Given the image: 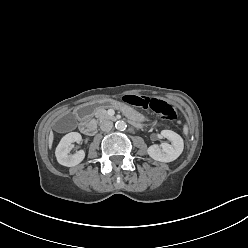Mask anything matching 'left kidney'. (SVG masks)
I'll use <instances>...</instances> for the list:
<instances>
[{
  "instance_id": "5707ae66",
  "label": "left kidney",
  "mask_w": 248,
  "mask_h": 248,
  "mask_svg": "<svg viewBox=\"0 0 248 248\" xmlns=\"http://www.w3.org/2000/svg\"><path fill=\"white\" fill-rule=\"evenodd\" d=\"M161 135L167 138L171 144L162 143L160 146L152 145L147 152L151 158L160 162H172L176 160L184 149V142L180 135L171 130H162Z\"/></svg>"
}]
</instances>
